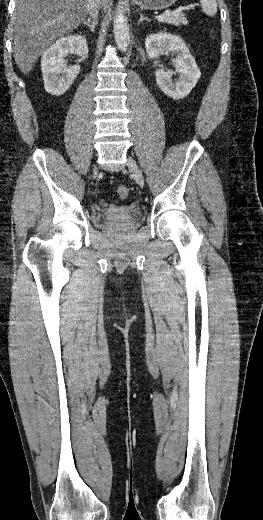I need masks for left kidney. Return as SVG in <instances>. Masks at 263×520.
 I'll use <instances>...</instances> for the list:
<instances>
[{
  "label": "left kidney",
  "instance_id": "left-kidney-1",
  "mask_svg": "<svg viewBox=\"0 0 263 520\" xmlns=\"http://www.w3.org/2000/svg\"><path fill=\"white\" fill-rule=\"evenodd\" d=\"M145 48L149 58H158L167 51L176 54L174 64L179 79L173 81L172 73L157 69L156 82L164 94L173 99L187 96L198 82L201 72L185 42L177 35L159 32L146 37Z\"/></svg>",
  "mask_w": 263,
  "mask_h": 520
}]
</instances>
